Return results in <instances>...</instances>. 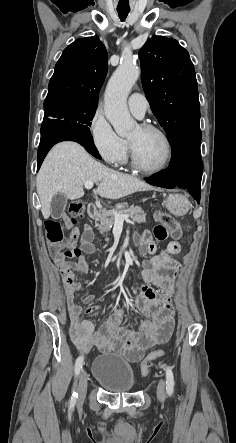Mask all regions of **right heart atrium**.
Instances as JSON below:
<instances>
[{"mask_svg":"<svg viewBox=\"0 0 236 443\" xmlns=\"http://www.w3.org/2000/svg\"><path fill=\"white\" fill-rule=\"evenodd\" d=\"M91 143L109 165L118 167L126 162L128 143L112 128L106 117L96 111L88 126Z\"/></svg>","mask_w":236,"mask_h":443,"instance_id":"obj_1","label":"right heart atrium"}]
</instances>
